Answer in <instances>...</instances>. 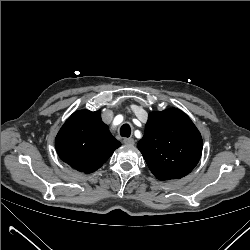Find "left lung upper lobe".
Here are the masks:
<instances>
[{"mask_svg": "<svg viewBox=\"0 0 250 250\" xmlns=\"http://www.w3.org/2000/svg\"><path fill=\"white\" fill-rule=\"evenodd\" d=\"M137 146L151 172L163 181L189 174L200 160L203 143L191 119L171 108L149 114L145 134Z\"/></svg>", "mask_w": 250, "mask_h": 250, "instance_id": "obj_1", "label": "left lung upper lobe"}]
</instances>
